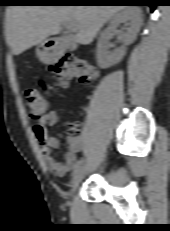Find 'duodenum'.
<instances>
[{
    "label": "duodenum",
    "instance_id": "obj_1",
    "mask_svg": "<svg viewBox=\"0 0 170 231\" xmlns=\"http://www.w3.org/2000/svg\"><path fill=\"white\" fill-rule=\"evenodd\" d=\"M69 47L71 48V47H73V45H69ZM62 51H63L62 48H58V49H56L54 52H55L56 54H60Z\"/></svg>",
    "mask_w": 170,
    "mask_h": 231
}]
</instances>
